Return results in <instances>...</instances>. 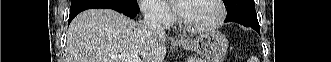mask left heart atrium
Masks as SVG:
<instances>
[{"instance_id": "39dd6f15", "label": "left heart atrium", "mask_w": 331, "mask_h": 62, "mask_svg": "<svg viewBox=\"0 0 331 62\" xmlns=\"http://www.w3.org/2000/svg\"><path fill=\"white\" fill-rule=\"evenodd\" d=\"M185 1H177V0H170L169 3L172 5L173 9L176 10L177 12H180L182 11V8H183V3Z\"/></svg>"}]
</instances>
